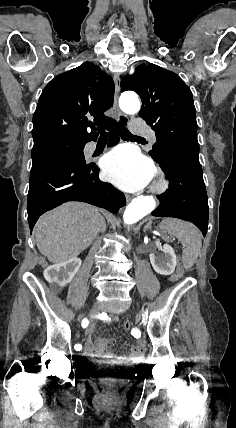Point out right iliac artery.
Returning a JSON list of instances; mask_svg holds the SVG:
<instances>
[{
	"mask_svg": "<svg viewBox=\"0 0 236 428\" xmlns=\"http://www.w3.org/2000/svg\"><path fill=\"white\" fill-rule=\"evenodd\" d=\"M88 324H89L88 319H87V318H84V319L82 320V327H83V328H86V327L88 326ZM74 348H75V350L80 351V350L82 349V345H81V344H76V345L74 346Z\"/></svg>",
	"mask_w": 236,
	"mask_h": 428,
	"instance_id": "obj_1",
	"label": "right iliac artery"
}]
</instances>
